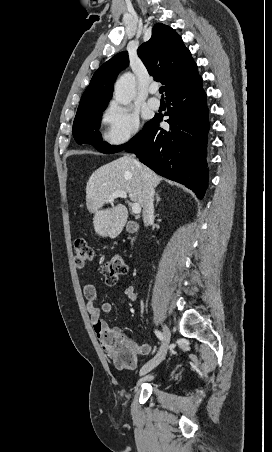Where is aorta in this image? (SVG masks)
Masks as SVG:
<instances>
[{"label":"aorta","mask_w":272,"mask_h":452,"mask_svg":"<svg viewBox=\"0 0 272 452\" xmlns=\"http://www.w3.org/2000/svg\"><path fill=\"white\" fill-rule=\"evenodd\" d=\"M135 96V78L131 73L123 74L115 83L114 101L120 105H128Z\"/></svg>","instance_id":"obj_1"}]
</instances>
